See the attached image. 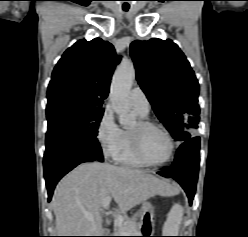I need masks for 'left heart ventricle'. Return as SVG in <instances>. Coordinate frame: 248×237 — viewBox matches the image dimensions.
<instances>
[{
  "label": "left heart ventricle",
  "instance_id": "1",
  "mask_svg": "<svg viewBox=\"0 0 248 237\" xmlns=\"http://www.w3.org/2000/svg\"><path fill=\"white\" fill-rule=\"evenodd\" d=\"M135 124L131 130L136 129ZM141 147L145 156L154 162L164 160L169 154V143L165 135L157 129L149 128L141 133Z\"/></svg>",
  "mask_w": 248,
  "mask_h": 237
}]
</instances>
